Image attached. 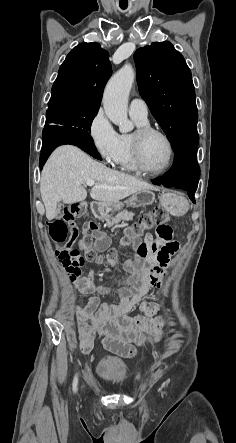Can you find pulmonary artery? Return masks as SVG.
I'll return each instance as SVG.
<instances>
[{
  "mask_svg": "<svg viewBox=\"0 0 236 443\" xmlns=\"http://www.w3.org/2000/svg\"><path fill=\"white\" fill-rule=\"evenodd\" d=\"M129 114L132 118L147 120L148 106L146 102L139 97L133 98L130 102Z\"/></svg>",
  "mask_w": 236,
  "mask_h": 443,
  "instance_id": "e3ab8cb5",
  "label": "pulmonary artery"
}]
</instances>
